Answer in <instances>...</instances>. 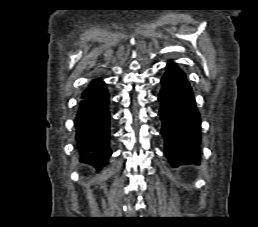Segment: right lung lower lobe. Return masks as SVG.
<instances>
[{
    "instance_id": "right-lung-lower-lobe-1",
    "label": "right lung lower lobe",
    "mask_w": 258,
    "mask_h": 227,
    "mask_svg": "<svg viewBox=\"0 0 258 227\" xmlns=\"http://www.w3.org/2000/svg\"><path fill=\"white\" fill-rule=\"evenodd\" d=\"M109 104L106 85L98 79L83 91L74 120L80 160L97 168L106 165V160L111 156Z\"/></svg>"
}]
</instances>
